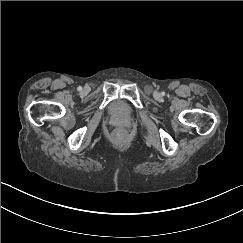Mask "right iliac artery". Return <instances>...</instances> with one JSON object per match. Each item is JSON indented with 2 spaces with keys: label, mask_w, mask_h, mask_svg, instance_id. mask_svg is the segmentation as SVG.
<instances>
[{
  "label": "right iliac artery",
  "mask_w": 243,
  "mask_h": 243,
  "mask_svg": "<svg viewBox=\"0 0 243 243\" xmlns=\"http://www.w3.org/2000/svg\"><path fill=\"white\" fill-rule=\"evenodd\" d=\"M77 90H78V91H81V90H82V87H81V86H79V87L77 88Z\"/></svg>",
  "instance_id": "obj_1"
}]
</instances>
